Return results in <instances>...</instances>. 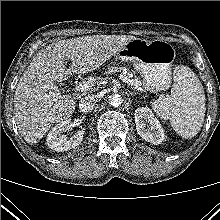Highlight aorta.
Returning <instances> with one entry per match:
<instances>
[{
	"mask_svg": "<svg viewBox=\"0 0 220 220\" xmlns=\"http://www.w3.org/2000/svg\"><path fill=\"white\" fill-rule=\"evenodd\" d=\"M110 104L113 107H119L122 104V97L119 94H113L112 96H110Z\"/></svg>",
	"mask_w": 220,
	"mask_h": 220,
	"instance_id": "762f6f07",
	"label": "aorta"
}]
</instances>
